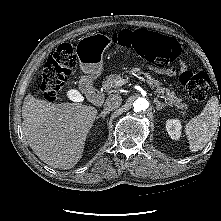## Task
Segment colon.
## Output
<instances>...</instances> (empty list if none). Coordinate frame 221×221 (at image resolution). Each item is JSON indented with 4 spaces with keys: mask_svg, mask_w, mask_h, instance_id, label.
I'll return each instance as SVG.
<instances>
[{
    "mask_svg": "<svg viewBox=\"0 0 221 221\" xmlns=\"http://www.w3.org/2000/svg\"><path fill=\"white\" fill-rule=\"evenodd\" d=\"M113 39L119 47H132L138 55L158 68L173 66L181 51L175 39L144 29L122 30ZM76 64L77 58L69 43L59 45L51 53L42 73L41 91L45 100H57ZM180 81L194 101L202 102L207 98L210 79L205 72L184 71Z\"/></svg>",
    "mask_w": 221,
    "mask_h": 221,
    "instance_id": "colon-1",
    "label": "colon"
}]
</instances>
